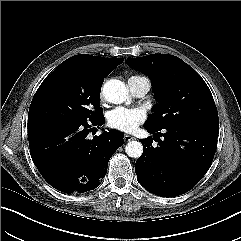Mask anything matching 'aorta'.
<instances>
[{
	"label": "aorta",
	"mask_w": 241,
	"mask_h": 241,
	"mask_svg": "<svg viewBox=\"0 0 241 241\" xmlns=\"http://www.w3.org/2000/svg\"><path fill=\"white\" fill-rule=\"evenodd\" d=\"M125 84L117 79L107 81L102 87V94L106 101L114 104H121L128 100L129 94ZM129 157L139 158L143 153V146L139 141H130L125 147Z\"/></svg>",
	"instance_id": "aorta-1"
}]
</instances>
